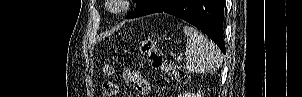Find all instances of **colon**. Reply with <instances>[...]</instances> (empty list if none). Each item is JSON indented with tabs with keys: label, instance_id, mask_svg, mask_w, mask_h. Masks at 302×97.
Here are the masks:
<instances>
[{
	"label": "colon",
	"instance_id": "colon-1",
	"mask_svg": "<svg viewBox=\"0 0 302 97\" xmlns=\"http://www.w3.org/2000/svg\"><path fill=\"white\" fill-rule=\"evenodd\" d=\"M140 50L142 54L146 56L154 70L173 77L179 83L187 84L189 82V74L182 67L167 62L152 41H142L140 43ZM103 72L108 77V79L103 83V94L105 97H114L117 92V85L112 79H110L114 74V69L109 61L105 63Z\"/></svg>",
	"mask_w": 302,
	"mask_h": 97
}]
</instances>
